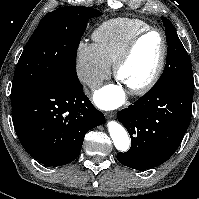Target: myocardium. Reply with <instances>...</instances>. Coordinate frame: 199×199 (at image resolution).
I'll list each match as a JSON object with an SVG mask.
<instances>
[{
    "mask_svg": "<svg viewBox=\"0 0 199 199\" xmlns=\"http://www.w3.org/2000/svg\"><path fill=\"white\" fill-rule=\"evenodd\" d=\"M152 33L159 34L161 38V44H162V51L161 55L158 61V64L151 75V77L142 85L127 89L128 92L131 95L135 96H142L148 93L159 81L164 68L166 64V59L168 55V42L166 39L165 34L163 33L162 30L156 28V27H150L140 33H138L136 36H134L128 43L127 45L123 48V50L120 52V54L117 56L116 60L113 63V73L116 79L119 80V72L123 64L128 60L132 52L134 51L135 47L137 44L147 35H150Z\"/></svg>",
    "mask_w": 199,
    "mask_h": 199,
    "instance_id": "f54148a6",
    "label": "myocardium"
}]
</instances>
